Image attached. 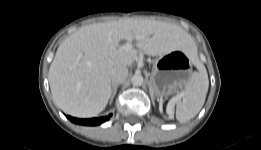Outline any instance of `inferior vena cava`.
Masks as SVG:
<instances>
[{"mask_svg":"<svg viewBox=\"0 0 261 150\" xmlns=\"http://www.w3.org/2000/svg\"><path fill=\"white\" fill-rule=\"evenodd\" d=\"M110 76L113 84L123 83L128 76V68L126 66H116L112 68Z\"/></svg>","mask_w":261,"mask_h":150,"instance_id":"inferior-vena-cava-1","label":"inferior vena cava"}]
</instances>
